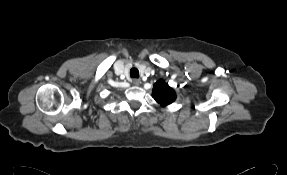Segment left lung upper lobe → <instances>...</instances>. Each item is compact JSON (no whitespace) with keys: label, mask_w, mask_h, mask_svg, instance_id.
<instances>
[{"label":"left lung upper lobe","mask_w":287,"mask_h":175,"mask_svg":"<svg viewBox=\"0 0 287 175\" xmlns=\"http://www.w3.org/2000/svg\"><path fill=\"white\" fill-rule=\"evenodd\" d=\"M152 96L162 106L169 105L176 99L174 90L162 79L154 84Z\"/></svg>","instance_id":"obj_1"}]
</instances>
